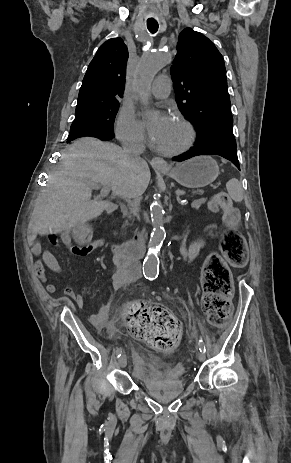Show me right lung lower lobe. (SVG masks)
<instances>
[{"mask_svg": "<svg viewBox=\"0 0 291 463\" xmlns=\"http://www.w3.org/2000/svg\"><path fill=\"white\" fill-rule=\"evenodd\" d=\"M113 137H103V138H100L101 140H110L112 139Z\"/></svg>", "mask_w": 291, "mask_h": 463, "instance_id": "right-lung-lower-lobe-1", "label": "right lung lower lobe"}]
</instances>
